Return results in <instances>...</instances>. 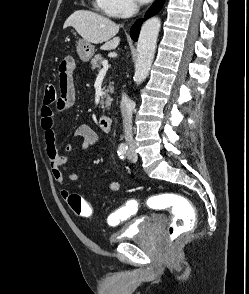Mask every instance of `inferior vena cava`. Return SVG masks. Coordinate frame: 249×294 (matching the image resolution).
<instances>
[{"label": "inferior vena cava", "instance_id": "obj_1", "mask_svg": "<svg viewBox=\"0 0 249 294\" xmlns=\"http://www.w3.org/2000/svg\"><path fill=\"white\" fill-rule=\"evenodd\" d=\"M121 114L123 118L124 138L129 147L134 146V139L132 135V101L127 97L125 93L122 94L120 103Z\"/></svg>", "mask_w": 249, "mask_h": 294}]
</instances>
